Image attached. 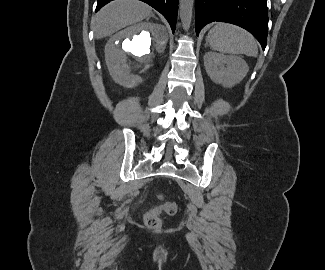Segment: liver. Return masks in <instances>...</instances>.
<instances>
[{
	"mask_svg": "<svg viewBox=\"0 0 325 270\" xmlns=\"http://www.w3.org/2000/svg\"><path fill=\"white\" fill-rule=\"evenodd\" d=\"M152 8L138 0H115L105 5L94 17V32L97 39L136 24L150 16Z\"/></svg>",
	"mask_w": 325,
	"mask_h": 270,
	"instance_id": "obj_1",
	"label": "liver"
}]
</instances>
